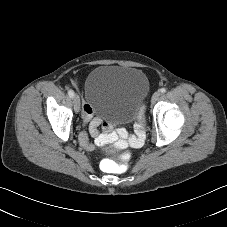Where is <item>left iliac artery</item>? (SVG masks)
I'll return each mask as SVG.
<instances>
[{
    "instance_id": "obj_1",
    "label": "left iliac artery",
    "mask_w": 227,
    "mask_h": 227,
    "mask_svg": "<svg viewBox=\"0 0 227 227\" xmlns=\"http://www.w3.org/2000/svg\"><path fill=\"white\" fill-rule=\"evenodd\" d=\"M160 92L161 93H165L166 92V89L165 88H162V89H160Z\"/></svg>"
}]
</instances>
